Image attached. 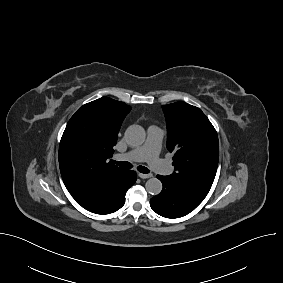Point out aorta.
I'll return each mask as SVG.
<instances>
[{"instance_id": "obj_1", "label": "aorta", "mask_w": 283, "mask_h": 283, "mask_svg": "<svg viewBox=\"0 0 283 283\" xmlns=\"http://www.w3.org/2000/svg\"><path fill=\"white\" fill-rule=\"evenodd\" d=\"M146 133L140 125H131L125 131L126 142L131 146H138L144 143ZM162 183L157 178H150L145 184L148 193L158 195L162 191Z\"/></svg>"}]
</instances>
